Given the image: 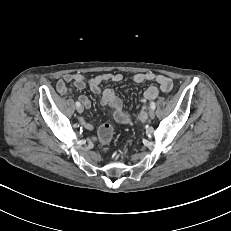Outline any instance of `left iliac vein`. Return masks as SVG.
I'll use <instances>...</instances> for the list:
<instances>
[{"instance_id": "left-iliac-vein-1", "label": "left iliac vein", "mask_w": 231, "mask_h": 231, "mask_svg": "<svg viewBox=\"0 0 231 231\" xmlns=\"http://www.w3.org/2000/svg\"><path fill=\"white\" fill-rule=\"evenodd\" d=\"M149 117H150V119H153L154 117H155V112H154V110H150L149 111Z\"/></svg>"}]
</instances>
